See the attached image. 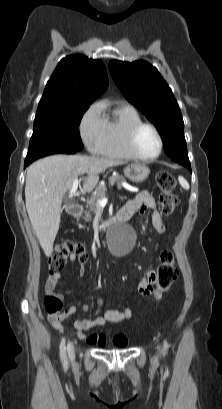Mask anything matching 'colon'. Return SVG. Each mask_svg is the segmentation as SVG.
I'll list each match as a JSON object with an SVG mask.
<instances>
[{"label":"colon","instance_id":"obj_1","mask_svg":"<svg viewBox=\"0 0 222 409\" xmlns=\"http://www.w3.org/2000/svg\"><path fill=\"white\" fill-rule=\"evenodd\" d=\"M156 183L161 191L160 207L164 215H171L179 203L176 194V180L168 171H160L156 176ZM72 255L78 257L81 263L88 259L85 245L79 241H63L57 244L49 256V270L56 274L61 272ZM158 271V283L152 286L155 293L166 291L177 277V265L174 255L170 251L161 254L160 264L155 268ZM148 276V274H147ZM154 293V294H155ZM44 306L50 315L67 316L63 311V303L60 298L48 295L44 299Z\"/></svg>","mask_w":222,"mask_h":409}]
</instances>
